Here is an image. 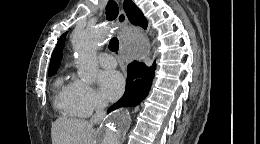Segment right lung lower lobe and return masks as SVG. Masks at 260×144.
Instances as JSON below:
<instances>
[{
	"instance_id": "obj_1",
	"label": "right lung lower lobe",
	"mask_w": 260,
	"mask_h": 144,
	"mask_svg": "<svg viewBox=\"0 0 260 144\" xmlns=\"http://www.w3.org/2000/svg\"><path fill=\"white\" fill-rule=\"evenodd\" d=\"M155 62L151 67L144 63L133 61L127 68L126 89L122 98L113 104L108 112L119 107H132L144 100L150 90L155 75Z\"/></svg>"
}]
</instances>
